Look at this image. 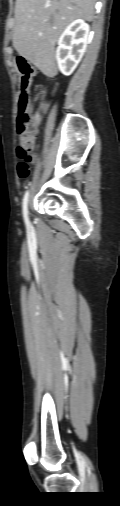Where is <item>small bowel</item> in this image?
<instances>
[{
  "mask_svg": "<svg viewBox=\"0 0 120 506\" xmlns=\"http://www.w3.org/2000/svg\"><path fill=\"white\" fill-rule=\"evenodd\" d=\"M48 106H49V105H48V103H46V102H42V103H40V105H39V107H40V110H41V111H46V110L48 109ZM36 118H37V125H38V124H39V122H40V120H41V116H40V114H38V113H37V114H36Z\"/></svg>",
  "mask_w": 120,
  "mask_h": 506,
  "instance_id": "c3829d8e",
  "label": "small bowel"
}]
</instances>
